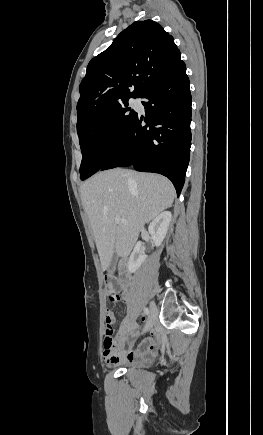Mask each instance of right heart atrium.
<instances>
[{"mask_svg":"<svg viewBox=\"0 0 263 435\" xmlns=\"http://www.w3.org/2000/svg\"><path fill=\"white\" fill-rule=\"evenodd\" d=\"M116 141V136L114 132H109L105 138L107 146H112Z\"/></svg>","mask_w":263,"mask_h":435,"instance_id":"1","label":"right heart atrium"}]
</instances>
